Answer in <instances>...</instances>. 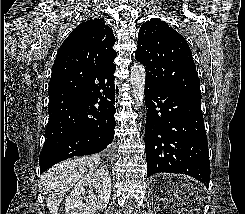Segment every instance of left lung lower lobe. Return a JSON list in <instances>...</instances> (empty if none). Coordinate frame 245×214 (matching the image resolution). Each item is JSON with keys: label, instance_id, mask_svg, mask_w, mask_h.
I'll list each match as a JSON object with an SVG mask.
<instances>
[{"label": "left lung lower lobe", "instance_id": "1", "mask_svg": "<svg viewBox=\"0 0 245 214\" xmlns=\"http://www.w3.org/2000/svg\"><path fill=\"white\" fill-rule=\"evenodd\" d=\"M201 97L145 83L147 176L181 173L208 188L210 161Z\"/></svg>", "mask_w": 245, "mask_h": 214}]
</instances>
